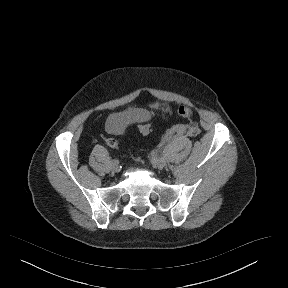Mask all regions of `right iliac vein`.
Segmentation results:
<instances>
[{
  "label": "right iliac vein",
  "mask_w": 288,
  "mask_h": 288,
  "mask_svg": "<svg viewBox=\"0 0 288 288\" xmlns=\"http://www.w3.org/2000/svg\"><path fill=\"white\" fill-rule=\"evenodd\" d=\"M111 168H112V170L115 171V172L119 171V165H118V163L112 162V163H111Z\"/></svg>",
  "instance_id": "63e3f726"
}]
</instances>
